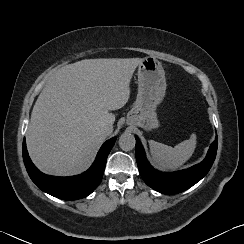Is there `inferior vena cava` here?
Segmentation results:
<instances>
[{"label": "inferior vena cava", "mask_w": 244, "mask_h": 244, "mask_svg": "<svg viewBox=\"0 0 244 244\" xmlns=\"http://www.w3.org/2000/svg\"><path fill=\"white\" fill-rule=\"evenodd\" d=\"M100 132L106 137L109 136L113 132V125L107 123L101 125Z\"/></svg>", "instance_id": "inferior-vena-cava-1"}]
</instances>
